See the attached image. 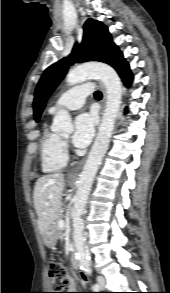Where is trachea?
<instances>
[{"label": "trachea", "instance_id": "3493384b", "mask_svg": "<svg viewBox=\"0 0 170 293\" xmlns=\"http://www.w3.org/2000/svg\"><path fill=\"white\" fill-rule=\"evenodd\" d=\"M94 96H95L96 98H101V97H102V94H101L100 91H95Z\"/></svg>", "mask_w": 170, "mask_h": 293}]
</instances>
